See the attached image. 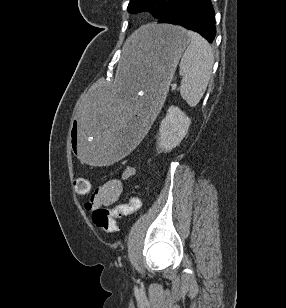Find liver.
Segmentation results:
<instances>
[{
    "label": "liver",
    "mask_w": 286,
    "mask_h": 308,
    "mask_svg": "<svg viewBox=\"0 0 286 308\" xmlns=\"http://www.w3.org/2000/svg\"><path fill=\"white\" fill-rule=\"evenodd\" d=\"M138 38V32L136 31L135 33L132 34V36L126 41L124 50L127 55L130 56V59H134V43Z\"/></svg>",
    "instance_id": "6515ba94"
}]
</instances>
